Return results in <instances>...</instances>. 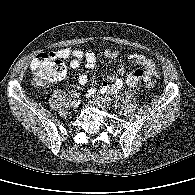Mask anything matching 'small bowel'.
Masks as SVG:
<instances>
[{"label": "small bowel", "mask_w": 195, "mask_h": 195, "mask_svg": "<svg viewBox=\"0 0 195 195\" xmlns=\"http://www.w3.org/2000/svg\"><path fill=\"white\" fill-rule=\"evenodd\" d=\"M52 54L61 59L71 58L70 66L74 69L79 68L83 64H85L88 68H93L97 60L94 52H84L80 49L73 48H62ZM104 55L108 59H115L119 56V51L107 49L104 52ZM129 58L133 63L138 65L139 68L135 69L124 78L121 76L125 74V69L119 68L117 70V74L111 75V82H104L101 86L90 89L88 91V95L92 96L95 94L105 93L115 94L123 86L135 87L142 80L146 82L158 76L156 64L152 59L137 53L130 55ZM78 82L80 85H85L88 82L87 75L81 74L78 77Z\"/></svg>", "instance_id": "c3829d8e"}]
</instances>
